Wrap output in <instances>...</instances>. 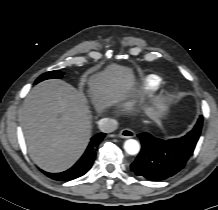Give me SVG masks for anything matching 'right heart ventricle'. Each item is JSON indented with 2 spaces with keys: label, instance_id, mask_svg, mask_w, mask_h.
Wrapping results in <instances>:
<instances>
[{
  "label": "right heart ventricle",
  "instance_id": "obj_1",
  "mask_svg": "<svg viewBox=\"0 0 218 210\" xmlns=\"http://www.w3.org/2000/svg\"><path fill=\"white\" fill-rule=\"evenodd\" d=\"M161 86V80L155 75H148L141 79L135 98L133 101L145 98L159 90Z\"/></svg>",
  "mask_w": 218,
  "mask_h": 210
}]
</instances>
